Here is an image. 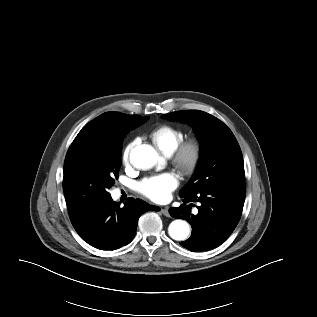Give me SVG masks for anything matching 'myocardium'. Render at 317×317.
Here are the masks:
<instances>
[{
	"instance_id": "myocardium-1",
	"label": "myocardium",
	"mask_w": 317,
	"mask_h": 317,
	"mask_svg": "<svg viewBox=\"0 0 317 317\" xmlns=\"http://www.w3.org/2000/svg\"><path fill=\"white\" fill-rule=\"evenodd\" d=\"M203 147L197 137H190L181 141L171 154L173 165L184 175L193 174L202 159Z\"/></svg>"
}]
</instances>
